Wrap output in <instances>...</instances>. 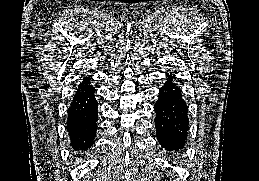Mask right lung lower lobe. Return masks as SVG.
Returning a JSON list of instances; mask_svg holds the SVG:
<instances>
[{
  "mask_svg": "<svg viewBox=\"0 0 259 181\" xmlns=\"http://www.w3.org/2000/svg\"><path fill=\"white\" fill-rule=\"evenodd\" d=\"M90 80V77L82 79L68 110L67 131L76 151L90 148L97 130L98 102Z\"/></svg>",
  "mask_w": 259,
  "mask_h": 181,
  "instance_id": "98d812e1",
  "label": "right lung lower lobe"
}]
</instances>
